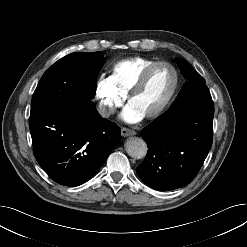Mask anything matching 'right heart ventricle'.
<instances>
[{
	"label": "right heart ventricle",
	"instance_id": "e07e8e85",
	"mask_svg": "<svg viewBox=\"0 0 247 247\" xmlns=\"http://www.w3.org/2000/svg\"><path fill=\"white\" fill-rule=\"evenodd\" d=\"M154 62L140 56L120 60L112 66L108 79L116 91L126 97L141 72Z\"/></svg>",
	"mask_w": 247,
	"mask_h": 247
}]
</instances>
